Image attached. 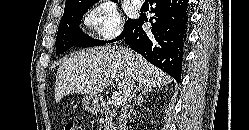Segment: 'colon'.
I'll use <instances>...</instances> for the list:
<instances>
[{
    "mask_svg": "<svg viewBox=\"0 0 249 130\" xmlns=\"http://www.w3.org/2000/svg\"><path fill=\"white\" fill-rule=\"evenodd\" d=\"M63 130H82V129L76 123L69 120L64 123Z\"/></svg>",
    "mask_w": 249,
    "mask_h": 130,
    "instance_id": "1",
    "label": "colon"
}]
</instances>
